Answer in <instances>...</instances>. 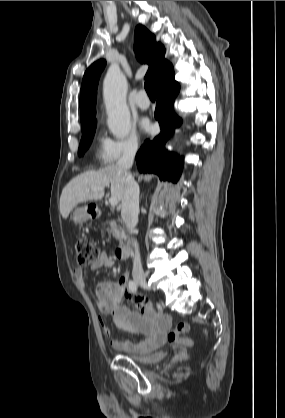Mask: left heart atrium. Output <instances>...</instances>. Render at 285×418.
Returning <instances> with one entry per match:
<instances>
[{
  "label": "left heart atrium",
  "instance_id": "39dd6f15",
  "mask_svg": "<svg viewBox=\"0 0 285 418\" xmlns=\"http://www.w3.org/2000/svg\"><path fill=\"white\" fill-rule=\"evenodd\" d=\"M141 126L145 131H149L151 126H150V122L147 119H143L141 121Z\"/></svg>",
  "mask_w": 285,
  "mask_h": 418
}]
</instances>
